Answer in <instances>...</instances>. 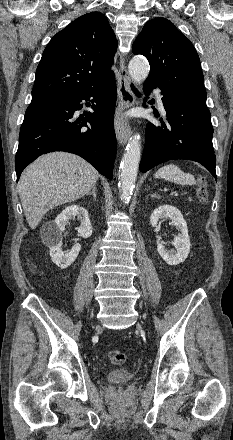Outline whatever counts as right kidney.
Here are the masks:
<instances>
[{
    "instance_id": "ca27d5eb",
    "label": "right kidney",
    "mask_w": 233,
    "mask_h": 440,
    "mask_svg": "<svg viewBox=\"0 0 233 440\" xmlns=\"http://www.w3.org/2000/svg\"><path fill=\"white\" fill-rule=\"evenodd\" d=\"M77 217L81 224L78 228V235L82 238H89L92 235V226L88 211L79 205L66 207L54 221L46 223L43 228V238L45 244L50 249L52 262L61 269L69 267L77 258L81 245L76 243L69 252H63L62 232L68 224L69 219Z\"/></svg>"
}]
</instances>
